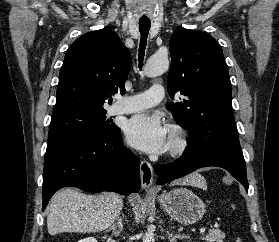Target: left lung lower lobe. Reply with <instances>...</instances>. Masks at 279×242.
Instances as JSON below:
<instances>
[{
	"label": "left lung lower lobe",
	"mask_w": 279,
	"mask_h": 242,
	"mask_svg": "<svg viewBox=\"0 0 279 242\" xmlns=\"http://www.w3.org/2000/svg\"><path fill=\"white\" fill-rule=\"evenodd\" d=\"M216 166L226 169L248 191L246 165L243 159L220 155H182L176 161L168 164H156L155 173L158 176L157 184L162 185L174 179L187 175L199 168Z\"/></svg>",
	"instance_id": "obj_1"
}]
</instances>
